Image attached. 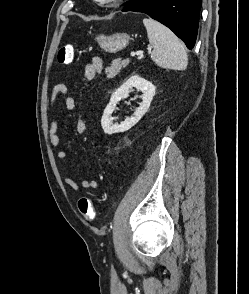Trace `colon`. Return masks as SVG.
Returning a JSON list of instances; mask_svg holds the SVG:
<instances>
[{"label": "colon", "instance_id": "colon-1", "mask_svg": "<svg viewBox=\"0 0 249 294\" xmlns=\"http://www.w3.org/2000/svg\"><path fill=\"white\" fill-rule=\"evenodd\" d=\"M74 58V47L72 45L62 46L57 54V61L61 65H70ZM78 209L84 219L92 221L95 218V209L90 198L82 196L78 200Z\"/></svg>", "mask_w": 249, "mask_h": 294}]
</instances>
